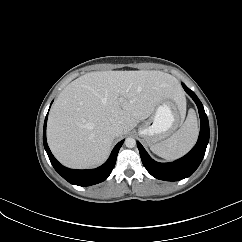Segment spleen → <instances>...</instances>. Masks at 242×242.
<instances>
[{"label": "spleen", "mask_w": 242, "mask_h": 242, "mask_svg": "<svg viewBox=\"0 0 242 242\" xmlns=\"http://www.w3.org/2000/svg\"><path fill=\"white\" fill-rule=\"evenodd\" d=\"M198 133L197 118L195 113L191 111L183 125L172 136L152 145L150 149L166 160H175L185 155L194 146Z\"/></svg>", "instance_id": "1"}]
</instances>
